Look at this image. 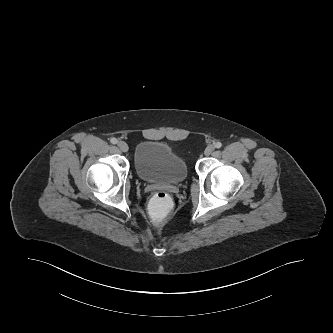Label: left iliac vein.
I'll use <instances>...</instances> for the list:
<instances>
[{
    "label": "left iliac vein",
    "instance_id": "1",
    "mask_svg": "<svg viewBox=\"0 0 333 333\" xmlns=\"http://www.w3.org/2000/svg\"><path fill=\"white\" fill-rule=\"evenodd\" d=\"M215 150V147L213 145H209L206 147L204 153L205 155L209 156L210 154H212V152Z\"/></svg>",
    "mask_w": 333,
    "mask_h": 333
}]
</instances>
